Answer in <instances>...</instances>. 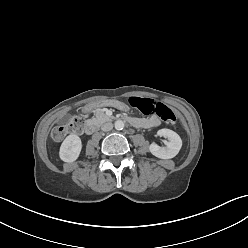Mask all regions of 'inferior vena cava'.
I'll return each mask as SVG.
<instances>
[{
  "mask_svg": "<svg viewBox=\"0 0 248 248\" xmlns=\"http://www.w3.org/2000/svg\"><path fill=\"white\" fill-rule=\"evenodd\" d=\"M113 128V124L111 122H106L101 126V130L104 132L110 131Z\"/></svg>",
  "mask_w": 248,
  "mask_h": 248,
  "instance_id": "1",
  "label": "inferior vena cava"
}]
</instances>
